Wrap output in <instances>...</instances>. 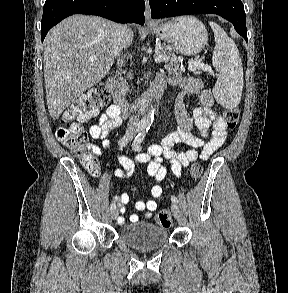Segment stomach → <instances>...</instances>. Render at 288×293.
Returning a JSON list of instances; mask_svg holds the SVG:
<instances>
[{"label": "stomach", "mask_w": 288, "mask_h": 293, "mask_svg": "<svg viewBox=\"0 0 288 293\" xmlns=\"http://www.w3.org/2000/svg\"><path fill=\"white\" fill-rule=\"evenodd\" d=\"M151 31L185 56L198 54L207 44L208 32L201 21L183 16L150 26Z\"/></svg>", "instance_id": "0dacf381"}]
</instances>
